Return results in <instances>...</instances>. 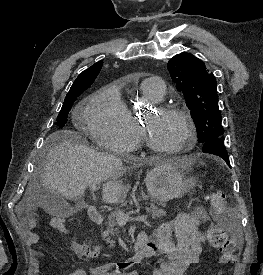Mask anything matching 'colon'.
Here are the masks:
<instances>
[{"label":"colon","mask_w":263,"mask_h":275,"mask_svg":"<svg viewBox=\"0 0 263 275\" xmlns=\"http://www.w3.org/2000/svg\"><path fill=\"white\" fill-rule=\"evenodd\" d=\"M208 203L214 214H221L226 206L225 196L221 192H212L208 195ZM54 228L66 232V226L60 221L54 222ZM206 242L220 253L219 263L233 266L236 261V245L228 238L227 233L219 226H211L205 233Z\"/></svg>","instance_id":"5ec220e1"}]
</instances>
